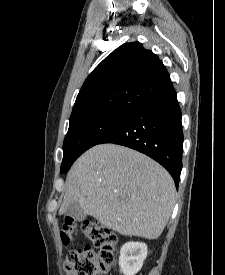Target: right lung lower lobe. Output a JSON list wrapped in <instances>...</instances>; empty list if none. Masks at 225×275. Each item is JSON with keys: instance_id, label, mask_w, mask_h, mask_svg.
Returning <instances> with one entry per match:
<instances>
[{"instance_id": "right-lung-lower-lobe-1", "label": "right lung lower lobe", "mask_w": 225, "mask_h": 275, "mask_svg": "<svg viewBox=\"0 0 225 275\" xmlns=\"http://www.w3.org/2000/svg\"><path fill=\"white\" fill-rule=\"evenodd\" d=\"M176 91L129 112L98 144L114 143L142 152L168 170L178 187L183 132Z\"/></svg>"}]
</instances>
